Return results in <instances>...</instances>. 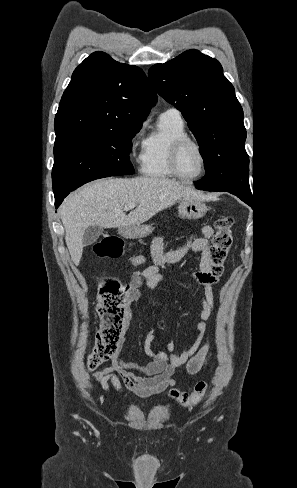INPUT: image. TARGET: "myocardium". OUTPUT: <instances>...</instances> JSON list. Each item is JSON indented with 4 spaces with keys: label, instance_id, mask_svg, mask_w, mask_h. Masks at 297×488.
<instances>
[{
    "label": "myocardium",
    "instance_id": "f54148a6",
    "mask_svg": "<svg viewBox=\"0 0 297 488\" xmlns=\"http://www.w3.org/2000/svg\"><path fill=\"white\" fill-rule=\"evenodd\" d=\"M187 144L194 145L198 149L200 156H201V169L194 176L183 175L181 173V171L179 170V167H178V158H179L180 152L183 149V147ZM168 164H169V168H170L171 172L173 173V175L175 177H177L181 180H184V181H188V182L195 181V180L199 179L200 177H202L206 172V169H207L206 151H205L204 147L194 138H191L188 135L180 137V138L176 139L170 147L169 156H168Z\"/></svg>",
    "mask_w": 297,
    "mask_h": 488
}]
</instances>
